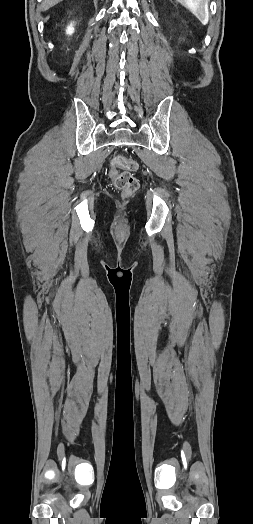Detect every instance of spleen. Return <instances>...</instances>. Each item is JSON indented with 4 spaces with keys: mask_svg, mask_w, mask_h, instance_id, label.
<instances>
[{
    "mask_svg": "<svg viewBox=\"0 0 253 524\" xmlns=\"http://www.w3.org/2000/svg\"><path fill=\"white\" fill-rule=\"evenodd\" d=\"M181 5L186 7L198 20L206 25L209 21L208 10L205 6V0H177Z\"/></svg>",
    "mask_w": 253,
    "mask_h": 524,
    "instance_id": "3e777b00",
    "label": "spleen"
}]
</instances>
